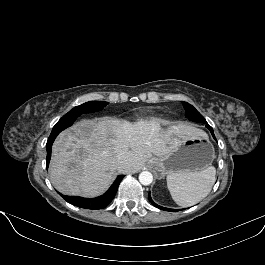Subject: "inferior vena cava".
<instances>
[{
	"label": "inferior vena cava",
	"mask_w": 265,
	"mask_h": 265,
	"mask_svg": "<svg viewBox=\"0 0 265 265\" xmlns=\"http://www.w3.org/2000/svg\"><path fill=\"white\" fill-rule=\"evenodd\" d=\"M125 163L124 155L118 154L117 155V166L121 167Z\"/></svg>",
	"instance_id": "obj_1"
}]
</instances>
